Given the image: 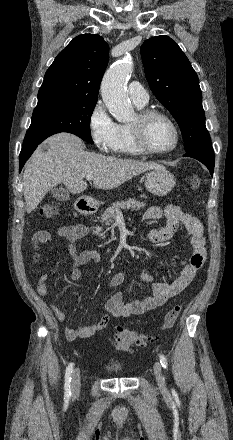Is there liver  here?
<instances>
[{"instance_id":"1","label":"liver","mask_w":233,"mask_h":440,"mask_svg":"<svg viewBox=\"0 0 233 440\" xmlns=\"http://www.w3.org/2000/svg\"><path fill=\"white\" fill-rule=\"evenodd\" d=\"M49 145L43 151L44 145ZM163 167L154 162L121 159L85 151L77 136L61 132L44 142L27 162L23 174V194L26 211L31 213L47 192L58 184H64L73 194L87 189L83 180L94 176V187L102 190L117 188L124 182L147 170Z\"/></svg>"}]
</instances>
